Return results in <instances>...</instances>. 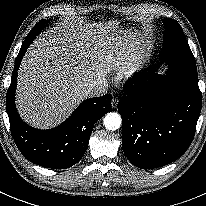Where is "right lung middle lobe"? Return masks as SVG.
Returning a JSON list of instances; mask_svg holds the SVG:
<instances>
[{
  "instance_id": "right-lung-middle-lobe-1",
  "label": "right lung middle lobe",
  "mask_w": 206,
  "mask_h": 206,
  "mask_svg": "<svg viewBox=\"0 0 206 206\" xmlns=\"http://www.w3.org/2000/svg\"><path fill=\"white\" fill-rule=\"evenodd\" d=\"M47 23H48V21H46V20H44V19L41 20L40 22H38V23L36 24V26L32 29V31L39 29V32H38V33H40L41 30L44 28V26H45Z\"/></svg>"
}]
</instances>
